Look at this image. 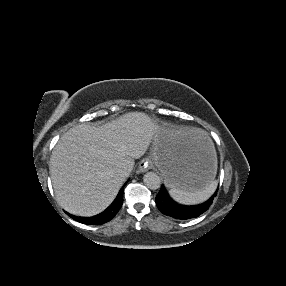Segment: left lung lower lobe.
<instances>
[{"label":"left lung lower lobe","mask_w":286,"mask_h":286,"mask_svg":"<svg viewBox=\"0 0 286 286\" xmlns=\"http://www.w3.org/2000/svg\"><path fill=\"white\" fill-rule=\"evenodd\" d=\"M216 192L214 195H216ZM213 198L214 196H212L206 202L195 206L180 205L169 197L166 190L162 186L160 192L156 196V205L163 214L183 220L195 218L204 213L212 204Z\"/></svg>","instance_id":"0a47b994"}]
</instances>
